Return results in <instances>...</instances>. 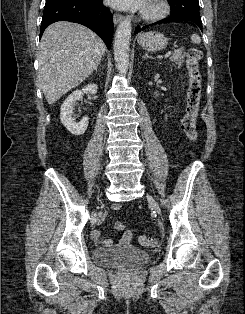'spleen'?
<instances>
[{"label":"spleen","instance_id":"3e777b00","mask_svg":"<svg viewBox=\"0 0 245 314\" xmlns=\"http://www.w3.org/2000/svg\"><path fill=\"white\" fill-rule=\"evenodd\" d=\"M191 41H192L193 43H195V44H200L201 39H200L199 35L193 34V35L191 36Z\"/></svg>","mask_w":245,"mask_h":314}]
</instances>
